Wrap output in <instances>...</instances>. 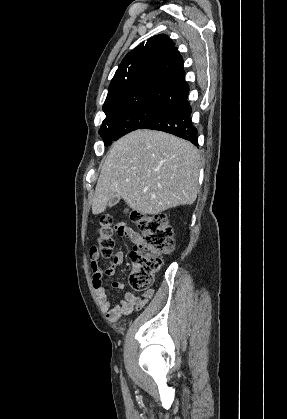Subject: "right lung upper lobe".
<instances>
[{
  "label": "right lung upper lobe",
  "instance_id": "right-lung-upper-lobe-1",
  "mask_svg": "<svg viewBox=\"0 0 287 419\" xmlns=\"http://www.w3.org/2000/svg\"><path fill=\"white\" fill-rule=\"evenodd\" d=\"M188 93L183 59L173 41L160 34L125 56L110 83L103 110L107 114L135 104L168 106Z\"/></svg>",
  "mask_w": 287,
  "mask_h": 419
}]
</instances>
